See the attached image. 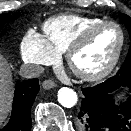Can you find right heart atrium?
Segmentation results:
<instances>
[{"label":"right heart atrium","instance_id":"obj_1","mask_svg":"<svg viewBox=\"0 0 131 131\" xmlns=\"http://www.w3.org/2000/svg\"><path fill=\"white\" fill-rule=\"evenodd\" d=\"M20 54L25 63L38 66L53 64L59 57L46 39L33 30L28 31L22 38Z\"/></svg>","mask_w":131,"mask_h":131}]
</instances>
